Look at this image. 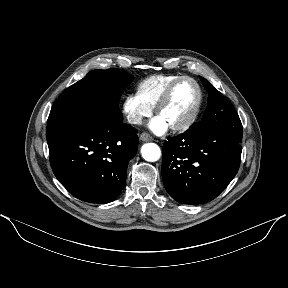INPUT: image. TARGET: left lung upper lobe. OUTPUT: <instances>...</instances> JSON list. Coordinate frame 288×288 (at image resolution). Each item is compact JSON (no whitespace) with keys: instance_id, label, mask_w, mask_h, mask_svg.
Listing matches in <instances>:
<instances>
[{"instance_id":"1","label":"left lung upper lobe","mask_w":288,"mask_h":288,"mask_svg":"<svg viewBox=\"0 0 288 288\" xmlns=\"http://www.w3.org/2000/svg\"><path fill=\"white\" fill-rule=\"evenodd\" d=\"M199 78L209 92L208 107L205 110L203 119L191 125L189 129L208 128L229 134L242 141V124L229 99L224 97L206 79L201 76Z\"/></svg>"}]
</instances>
